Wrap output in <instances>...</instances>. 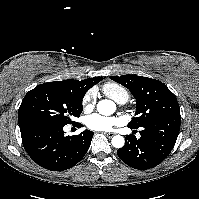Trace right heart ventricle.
Listing matches in <instances>:
<instances>
[{
  "label": "right heart ventricle",
  "mask_w": 199,
  "mask_h": 199,
  "mask_svg": "<svg viewBox=\"0 0 199 199\" xmlns=\"http://www.w3.org/2000/svg\"><path fill=\"white\" fill-rule=\"evenodd\" d=\"M103 92L117 102L127 101L130 95L129 91L124 86L116 83H108L104 85Z\"/></svg>",
  "instance_id": "obj_1"
}]
</instances>
